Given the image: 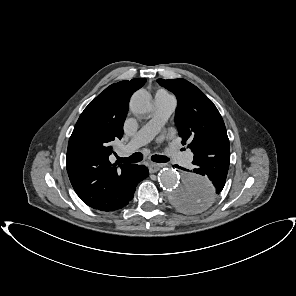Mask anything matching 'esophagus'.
<instances>
[{"instance_id": "obj_1", "label": "esophagus", "mask_w": 296, "mask_h": 296, "mask_svg": "<svg viewBox=\"0 0 296 296\" xmlns=\"http://www.w3.org/2000/svg\"><path fill=\"white\" fill-rule=\"evenodd\" d=\"M163 166H165V164H159V163L150 162L148 164L149 172L150 173H155V172H157Z\"/></svg>"}]
</instances>
